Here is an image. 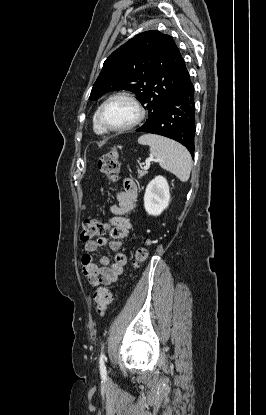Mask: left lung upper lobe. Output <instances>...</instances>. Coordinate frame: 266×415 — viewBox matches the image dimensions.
Instances as JSON below:
<instances>
[{
  "mask_svg": "<svg viewBox=\"0 0 266 415\" xmlns=\"http://www.w3.org/2000/svg\"><path fill=\"white\" fill-rule=\"evenodd\" d=\"M187 74L184 59L172 37L159 31L136 35L104 62L89 100L115 90H128L154 121L180 88Z\"/></svg>",
  "mask_w": 266,
  "mask_h": 415,
  "instance_id": "1",
  "label": "left lung upper lobe"
}]
</instances>
